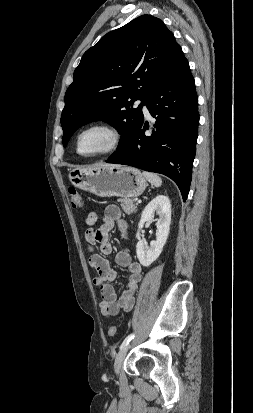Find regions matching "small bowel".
<instances>
[{"mask_svg":"<svg viewBox=\"0 0 253 413\" xmlns=\"http://www.w3.org/2000/svg\"><path fill=\"white\" fill-rule=\"evenodd\" d=\"M98 219L97 212L89 213L86 223L88 228L85 231L84 238L91 255L89 257V266L96 272L93 279L95 286L101 289L102 301L100 310L104 316H115L121 310L128 312L132 309L135 302V293L138 283L142 278V267L138 262L132 261L130 250L123 248L115 257V262L120 267L128 268L129 275L126 280V289L120 297L117 296L116 290L111 284L116 278V271L110 266L108 260L103 255H108L112 251L109 242L110 231L117 226L121 236L127 238V224L121 217V210L116 205H109L103 213V223L100 227L94 228ZM98 245L101 254L94 253L93 247Z\"/></svg>","mask_w":253,"mask_h":413,"instance_id":"small-bowel-1","label":"small bowel"}]
</instances>
